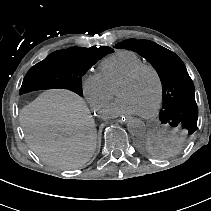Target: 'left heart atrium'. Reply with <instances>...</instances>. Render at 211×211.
I'll return each mask as SVG.
<instances>
[{"label":"left heart atrium","instance_id":"left-heart-atrium-1","mask_svg":"<svg viewBox=\"0 0 211 211\" xmlns=\"http://www.w3.org/2000/svg\"><path fill=\"white\" fill-rule=\"evenodd\" d=\"M140 112L133 105V103L124 97H120L114 100L107 108L102 112V115L106 117H117L128 114H139Z\"/></svg>","mask_w":211,"mask_h":211}]
</instances>
